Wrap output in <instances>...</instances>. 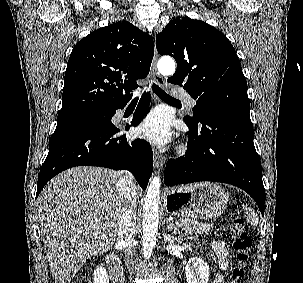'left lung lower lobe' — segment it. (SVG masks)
I'll use <instances>...</instances> for the list:
<instances>
[{
    "label": "left lung lower lobe",
    "instance_id": "left-lung-lower-lobe-1",
    "mask_svg": "<svg viewBox=\"0 0 303 283\" xmlns=\"http://www.w3.org/2000/svg\"><path fill=\"white\" fill-rule=\"evenodd\" d=\"M184 121L190 129L188 149L184 157L167 162L165 185L199 181L228 183L246 191L263 215L265 190L250 114L205 108L198 124Z\"/></svg>",
    "mask_w": 303,
    "mask_h": 283
}]
</instances>
